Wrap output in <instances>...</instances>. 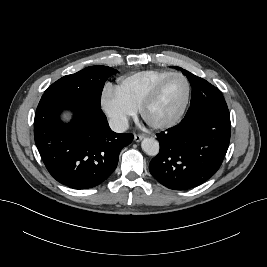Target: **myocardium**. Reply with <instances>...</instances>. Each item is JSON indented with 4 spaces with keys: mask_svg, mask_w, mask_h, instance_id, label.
<instances>
[{
    "mask_svg": "<svg viewBox=\"0 0 267 267\" xmlns=\"http://www.w3.org/2000/svg\"><path fill=\"white\" fill-rule=\"evenodd\" d=\"M179 77L181 79L184 80L185 84H186V95H185V99L184 102L180 108V110L177 112V114L175 116H173L171 119L163 121V122H150L147 119V111L148 109L154 104V102L157 100L161 90L163 89L164 85L171 80L172 78H176ZM190 96H191V84L188 80V78L181 74V73H171L168 76L164 77L163 79H161L154 87L153 89L150 91V93L147 95V97L143 100V102L141 103L140 107H139V113L141 118L143 119V121L152 129L155 130H165V129H169L174 127L175 125H177L183 118L189 101H190Z\"/></svg>",
    "mask_w": 267,
    "mask_h": 267,
    "instance_id": "1",
    "label": "myocardium"
}]
</instances>
